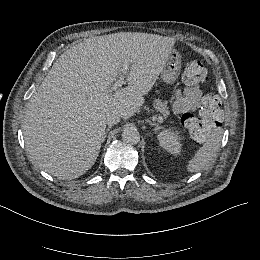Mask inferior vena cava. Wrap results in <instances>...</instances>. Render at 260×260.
<instances>
[{
    "label": "inferior vena cava",
    "mask_w": 260,
    "mask_h": 260,
    "mask_svg": "<svg viewBox=\"0 0 260 260\" xmlns=\"http://www.w3.org/2000/svg\"><path fill=\"white\" fill-rule=\"evenodd\" d=\"M120 119H121V116L118 114V112L113 111L107 115L105 123L108 126H113V125L117 124L120 121ZM99 126H101V124Z\"/></svg>",
    "instance_id": "602c4592"
}]
</instances>
